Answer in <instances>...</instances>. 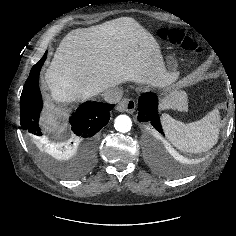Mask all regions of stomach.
<instances>
[{
    "label": "stomach",
    "mask_w": 236,
    "mask_h": 236,
    "mask_svg": "<svg viewBox=\"0 0 236 236\" xmlns=\"http://www.w3.org/2000/svg\"><path fill=\"white\" fill-rule=\"evenodd\" d=\"M177 60L176 57L173 54H167L165 57V68L169 74H171L174 79H176L179 75V72L177 71ZM181 95L185 96L184 93H181Z\"/></svg>",
    "instance_id": "obj_1"
}]
</instances>
